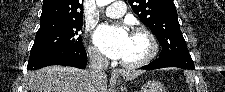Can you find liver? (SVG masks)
<instances>
[{
  "label": "liver",
  "mask_w": 225,
  "mask_h": 92,
  "mask_svg": "<svg viewBox=\"0 0 225 92\" xmlns=\"http://www.w3.org/2000/svg\"><path fill=\"white\" fill-rule=\"evenodd\" d=\"M140 70H120L126 81L140 76ZM105 73L92 76L88 70L74 67L50 66L29 72L24 79L23 92H107Z\"/></svg>",
  "instance_id": "obj_1"
}]
</instances>
